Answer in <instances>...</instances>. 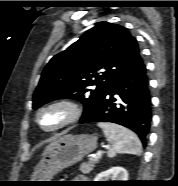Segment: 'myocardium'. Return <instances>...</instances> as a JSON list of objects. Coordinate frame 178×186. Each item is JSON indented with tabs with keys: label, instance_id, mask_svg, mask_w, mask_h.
<instances>
[{
	"label": "myocardium",
	"instance_id": "obj_1",
	"mask_svg": "<svg viewBox=\"0 0 178 186\" xmlns=\"http://www.w3.org/2000/svg\"><path fill=\"white\" fill-rule=\"evenodd\" d=\"M52 108H62L65 111V118L64 120L52 128H45L41 125L39 121L40 114L46 110ZM82 116V107L79 103L71 99H58L51 101L40 108L35 113L34 120L36 125L46 133H55L61 131L74 123H76Z\"/></svg>",
	"mask_w": 178,
	"mask_h": 186
}]
</instances>
